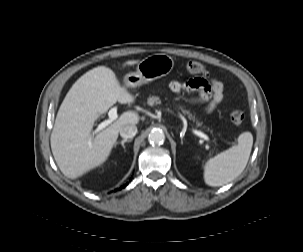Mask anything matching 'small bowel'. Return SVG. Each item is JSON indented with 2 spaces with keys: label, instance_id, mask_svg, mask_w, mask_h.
<instances>
[{
  "label": "small bowel",
  "instance_id": "small-bowel-1",
  "mask_svg": "<svg viewBox=\"0 0 303 252\" xmlns=\"http://www.w3.org/2000/svg\"><path fill=\"white\" fill-rule=\"evenodd\" d=\"M169 89L175 94L196 92L197 96L190 99L191 103H203L211 94L212 98L206 106V110L209 112L223 99L225 87L217 79L209 82L203 78H193L185 82L173 80L169 84Z\"/></svg>",
  "mask_w": 303,
  "mask_h": 252
}]
</instances>
